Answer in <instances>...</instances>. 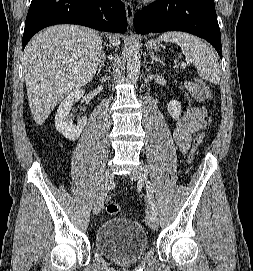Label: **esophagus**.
Here are the masks:
<instances>
[{"label": "esophagus", "instance_id": "34e87169", "mask_svg": "<svg viewBox=\"0 0 253 271\" xmlns=\"http://www.w3.org/2000/svg\"><path fill=\"white\" fill-rule=\"evenodd\" d=\"M125 10H126V17H127L128 24L132 26L133 18H134V9L131 3L125 2Z\"/></svg>", "mask_w": 253, "mask_h": 271}]
</instances>
